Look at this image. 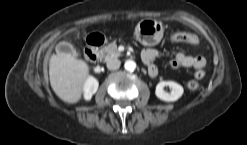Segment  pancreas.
Listing matches in <instances>:
<instances>
[{
  "label": "pancreas",
  "mask_w": 247,
  "mask_h": 145,
  "mask_svg": "<svg viewBox=\"0 0 247 145\" xmlns=\"http://www.w3.org/2000/svg\"><path fill=\"white\" fill-rule=\"evenodd\" d=\"M99 55L101 58L108 60L110 58H118L121 53L117 49V44L113 42L100 49Z\"/></svg>",
  "instance_id": "obj_1"
}]
</instances>
